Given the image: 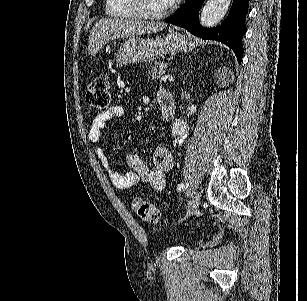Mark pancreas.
<instances>
[{
  "label": "pancreas",
  "mask_w": 307,
  "mask_h": 301,
  "mask_svg": "<svg viewBox=\"0 0 307 301\" xmlns=\"http://www.w3.org/2000/svg\"><path fill=\"white\" fill-rule=\"evenodd\" d=\"M167 68L166 62H154L153 66H149L148 74L152 76V78H160L165 74Z\"/></svg>",
  "instance_id": "obj_1"
}]
</instances>
